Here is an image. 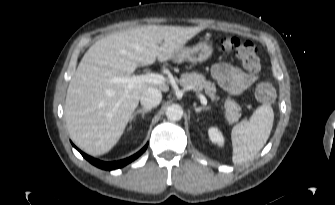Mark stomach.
I'll use <instances>...</instances> for the list:
<instances>
[{"label": "stomach", "instance_id": "stomach-1", "mask_svg": "<svg viewBox=\"0 0 335 205\" xmlns=\"http://www.w3.org/2000/svg\"><path fill=\"white\" fill-rule=\"evenodd\" d=\"M212 53L213 47L210 43L200 42L192 47H183L178 53V60L200 63L210 58Z\"/></svg>", "mask_w": 335, "mask_h": 205}]
</instances>
